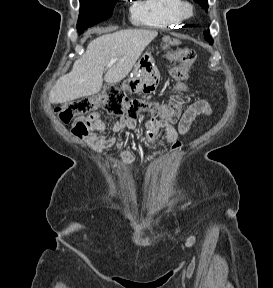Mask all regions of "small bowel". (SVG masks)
<instances>
[{"label": "small bowel", "instance_id": "1", "mask_svg": "<svg viewBox=\"0 0 273 288\" xmlns=\"http://www.w3.org/2000/svg\"><path fill=\"white\" fill-rule=\"evenodd\" d=\"M141 110L134 115L122 116L116 120L111 128L112 133H118L122 130H133L136 127L137 119L141 115ZM212 108L204 99H198L191 103L184 113L176 127L172 122L149 118L146 121L147 141L150 145L154 144L161 135L172 144V149L178 150L181 143L178 141V135H185L195 118L199 115L210 116ZM92 127L89 133L84 136L85 141L96 151L102 152L109 148H114L115 137L104 134L106 126L96 115L90 117ZM123 159L126 162L132 160V155L128 151L123 153Z\"/></svg>", "mask_w": 273, "mask_h": 288}]
</instances>
